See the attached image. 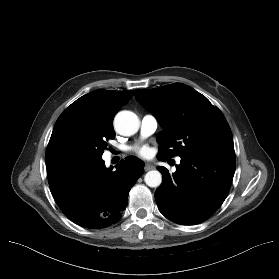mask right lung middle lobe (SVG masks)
Listing matches in <instances>:
<instances>
[{
    "mask_svg": "<svg viewBox=\"0 0 279 279\" xmlns=\"http://www.w3.org/2000/svg\"><path fill=\"white\" fill-rule=\"evenodd\" d=\"M113 130L102 128L94 120L79 114L60 115L46 150V166L101 158Z\"/></svg>",
    "mask_w": 279,
    "mask_h": 279,
    "instance_id": "dd1d6c3e",
    "label": "right lung middle lobe"
}]
</instances>
